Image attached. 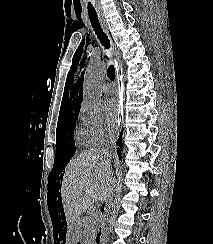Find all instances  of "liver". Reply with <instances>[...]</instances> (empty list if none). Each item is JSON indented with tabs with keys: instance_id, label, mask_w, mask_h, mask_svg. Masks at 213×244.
Here are the masks:
<instances>
[{
	"instance_id": "liver-1",
	"label": "liver",
	"mask_w": 213,
	"mask_h": 244,
	"mask_svg": "<svg viewBox=\"0 0 213 244\" xmlns=\"http://www.w3.org/2000/svg\"><path fill=\"white\" fill-rule=\"evenodd\" d=\"M113 170L107 150L82 153L65 169L61 198L67 224L76 228L79 216L95 201H107L112 192Z\"/></svg>"
}]
</instances>
